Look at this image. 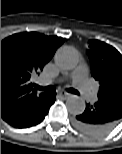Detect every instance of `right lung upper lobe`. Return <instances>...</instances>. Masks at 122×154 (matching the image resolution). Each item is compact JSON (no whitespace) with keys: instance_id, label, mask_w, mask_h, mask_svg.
<instances>
[{"instance_id":"obj_1","label":"right lung upper lobe","mask_w":122,"mask_h":154,"mask_svg":"<svg viewBox=\"0 0 122 154\" xmlns=\"http://www.w3.org/2000/svg\"><path fill=\"white\" fill-rule=\"evenodd\" d=\"M65 39L17 33L1 42V117L7 121L48 93H38L30 78L39 73Z\"/></svg>"}]
</instances>
